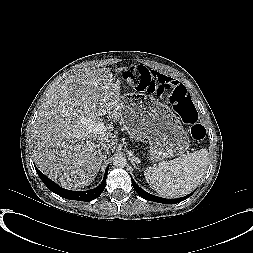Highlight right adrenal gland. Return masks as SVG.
I'll use <instances>...</instances> for the list:
<instances>
[{
    "instance_id": "obj_1",
    "label": "right adrenal gland",
    "mask_w": 253,
    "mask_h": 253,
    "mask_svg": "<svg viewBox=\"0 0 253 253\" xmlns=\"http://www.w3.org/2000/svg\"><path fill=\"white\" fill-rule=\"evenodd\" d=\"M108 154H109V152L105 153L104 161L107 159Z\"/></svg>"
}]
</instances>
